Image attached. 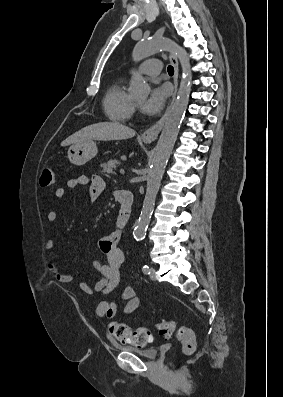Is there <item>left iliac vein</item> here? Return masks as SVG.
Wrapping results in <instances>:
<instances>
[{"label":"left iliac vein","instance_id":"obj_1","mask_svg":"<svg viewBox=\"0 0 283 397\" xmlns=\"http://www.w3.org/2000/svg\"><path fill=\"white\" fill-rule=\"evenodd\" d=\"M150 278L155 281L156 280V271L154 268H150Z\"/></svg>","mask_w":283,"mask_h":397}]
</instances>
